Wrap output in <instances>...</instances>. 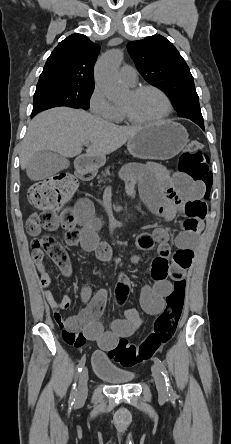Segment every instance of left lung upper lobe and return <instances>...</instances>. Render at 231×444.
<instances>
[{
	"label": "left lung upper lobe",
	"mask_w": 231,
	"mask_h": 444,
	"mask_svg": "<svg viewBox=\"0 0 231 444\" xmlns=\"http://www.w3.org/2000/svg\"><path fill=\"white\" fill-rule=\"evenodd\" d=\"M127 47L140 74L168 94L181 117L204 123L193 76L171 42L154 35L131 41Z\"/></svg>",
	"instance_id": "1"
}]
</instances>
